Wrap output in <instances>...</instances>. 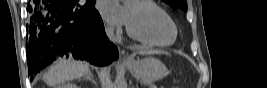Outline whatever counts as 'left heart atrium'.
<instances>
[{"label": "left heart atrium", "instance_id": "1", "mask_svg": "<svg viewBox=\"0 0 267 88\" xmlns=\"http://www.w3.org/2000/svg\"><path fill=\"white\" fill-rule=\"evenodd\" d=\"M100 12L111 23L128 24L129 13L127 7L120 6L116 1H102Z\"/></svg>", "mask_w": 267, "mask_h": 88}]
</instances>
